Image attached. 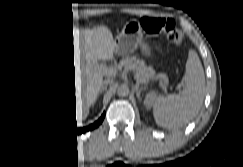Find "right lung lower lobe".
Returning <instances> with one entry per match:
<instances>
[{
  "instance_id": "98d812e1",
  "label": "right lung lower lobe",
  "mask_w": 243,
  "mask_h": 167,
  "mask_svg": "<svg viewBox=\"0 0 243 167\" xmlns=\"http://www.w3.org/2000/svg\"><path fill=\"white\" fill-rule=\"evenodd\" d=\"M42 92V91H41ZM41 101H40V105H39V100H38V115H39V119L44 121L45 116H46V109H45V103H44V97H43V92L41 93ZM67 105V104H66ZM54 106H55V110L57 112V100L55 97L54 100ZM67 107V106H66ZM68 113H69V118H70V126L66 129L63 130H57L56 133L62 136H67V137H73V136H77L80 135L82 133H85L87 131L93 130L95 128H97L103 121L105 113H103V115L99 118V120H97L95 123L87 126V127H83V128H76V127H71V117H70V93H69V101H68ZM58 114V113H57Z\"/></svg>"
}]
</instances>
